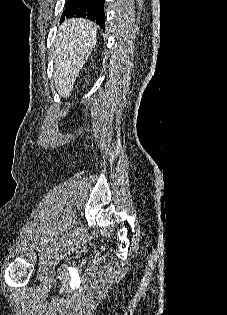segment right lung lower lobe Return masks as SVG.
<instances>
[{
  "instance_id": "98d812e1",
  "label": "right lung lower lobe",
  "mask_w": 227,
  "mask_h": 315,
  "mask_svg": "<svg viewBox=\"0 0 227 315\" xmlns=\"http://www.w3.org/2000/svg\"><path fill=\"white\" fill-rule=\"evenodd\" d=\"M65 18H87L104 28V0H67L61 22Z\"/></svg>"
}]
</instances>
